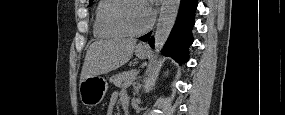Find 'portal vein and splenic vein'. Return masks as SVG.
I'll return each mask as SVG.
<instances>
[{
    "instance_id": "18ae733b",
    "label": "portal vein and splenic vein",
    "mask_w": 285,
    "mask_h": 115,
    "mask_svg": "<svg viewBox=\"0 0 285 115\" xmlns=\"http://www.w3.org/2000/svg\"><path fill=\"white\" fill-rule=\"evenodd\" d=\"M125 85H126V86H128V85H129V83L124 84V86H125Z\"/></svg>"
}]
</instances>
